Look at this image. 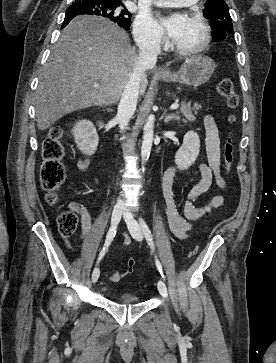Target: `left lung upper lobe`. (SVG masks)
Wrapping results in <instances>:
<instances>
[{
  "mask_svg": "<svg viewBox=\"0 0 276 363\" xmlns=\"http://www.w3.org/2000/svg\"><path fill=\"white\" fill-rule=\"evenodd\" d=\"M203 13L210 20L212 35L217 40H223L226 35L234 34L232 19L225 0H207Z\"/></svg>",
  "mask_w": 276,
  "mask_h": 363,
  "instance_id": "obj_1",
  "label": "left lung upper lobe"
}]
</instances>
